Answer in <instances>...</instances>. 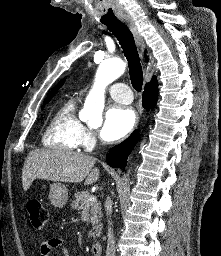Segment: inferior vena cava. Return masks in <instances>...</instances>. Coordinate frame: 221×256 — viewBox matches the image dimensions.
<instances>
[{
	"mask_svg": "<svg viewBox=\"0 0 221 256\" xmlns=\"http://www.w3.org/2000/svg\"><path fill=\"white\" fill-rule=\"evenodd\" d=\"M106 213L109 217H111L112 213V201L109 197L106 199ZM108 234H107V248H106V256H115V239L113 235V229L111 228L112 222L110 219L108 220Z\"/></svg>",
	"mask_w": 221,
	"mask_h": 256,
	"instance_id": "obj_1",
	"label": "inferior vena cava"
}]
</instances>
